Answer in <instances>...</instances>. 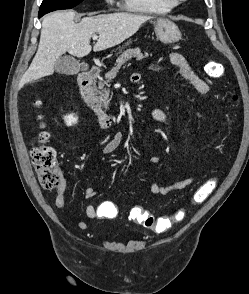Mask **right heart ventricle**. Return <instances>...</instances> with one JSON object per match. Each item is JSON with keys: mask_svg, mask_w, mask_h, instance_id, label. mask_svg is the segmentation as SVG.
I'll use <instances>...</instances> for the list:
<instances>
[{"mask_svg": "<svg viewBox=\"0 0 249 294\" xmlns=\"http://www.w3.org/2000/svg\"><path fill=\"white\" fill-rule=\"evenodd\" d=\"M123 7L135 13L164 14L170 12L175 5L169 0H121Z\"/></svg>", "mask_w": 249, "mask_h": 294, "instance_id": "1", "label": "right heart ventricle"}]
</instances>
